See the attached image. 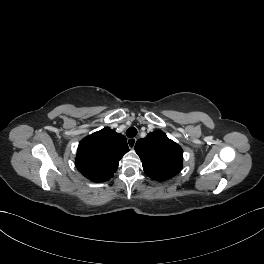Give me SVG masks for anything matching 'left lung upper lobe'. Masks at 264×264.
I'll return each instance as SVG.
<instances>
[{
	"label": "left lung upper lobe",
	"instance_id": "1",
	"mask_svg": "<svg viewBox=\"0 0 264 264\" xmlns=\"http://www.w3.org/2000/svg\"><path fill=\"white\" fill-rule=\"evenodd\" d=\"M145 173L162 181L175 176L182 169L183 150L160 131L149 133L135 145Z\"/></svg>",
	"mask_w": 264,
	"mask_h": 264
}]
</instances>
